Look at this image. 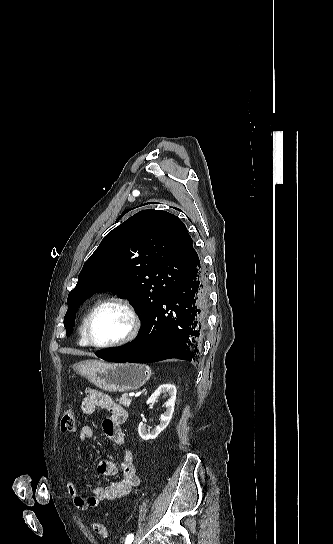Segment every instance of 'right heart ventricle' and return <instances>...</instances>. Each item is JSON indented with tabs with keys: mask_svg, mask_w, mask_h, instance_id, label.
Listing matches in <instances>:
<instances>
[{
	"mask_svg": "<svg viewBox=\"0 0 333 544\" xmlns=\"http://www.w3.org/2000/svg\"><path fill=\"white\" fill-rule=\"evenodd\" d=\"M89 311H87L84 316L82 317V320H81V323L79 325V339H78V342H79V345L81 346H89L86 338H85V334H84V323H85V319H86V316L88 314Z\"/></svg>",
	"mask_w": 333,
	"mask_h": 544,
	"instance_id": "obj_1",
	"label": "right heart ventricle"
}]
</instances>
